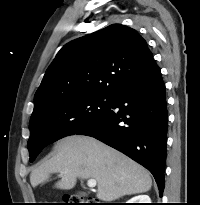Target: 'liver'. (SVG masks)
I'll return each mask as SVG.
<instances>
[{"label":"liver","mask_w":200,"mask_h":205,"mask_svg":"<svg viewBox=\"0 0 200 205\" xmlns=\"http://www.w3.org/2000/svg\"><path fill=\"white\" fill-rule=\"evenodd\" d=\"M54 155L32 170V187L47 181L52 173L61 180L55 187L72 189L78 178L95 179L96 197L101 201H114L125 195L147 192L152 179L149 172L121 152L88 136L73 135L59 140Z\"/></svg>","instance_id":"1"}]
</instances>
